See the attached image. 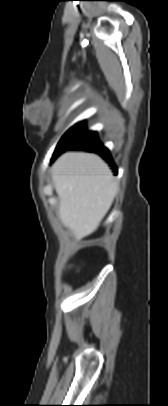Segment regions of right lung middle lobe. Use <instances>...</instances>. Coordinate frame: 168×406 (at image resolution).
Masks as SVG:
<instances>
[{
    "label": "right lung middle lobe",
    "instance_id": "right-lung-middle-lobe-1",
    "mask_svg": "<svg viewBox=\"0 0 168 406\" xmlns=\"http://www.w3.org/2000/svg\"><path fill=\"white\" fill-rule=\"evenodd\" d=\"M94 134L96 133L86 130L84 127V121L77 123L63 135L54 151L53 157L70 145L80 142Z\"/></svg>",
    "mask_w": 168,
    "mask_h": 406
}]
</instances>
